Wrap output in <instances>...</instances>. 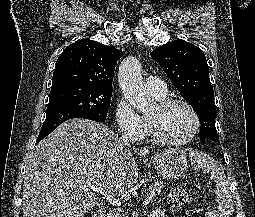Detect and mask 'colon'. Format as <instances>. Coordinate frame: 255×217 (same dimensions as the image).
I'll list each match as a JSON object with an SVG mask.
<instances>
[{"instance_id": "1", "label": "colon", "mask_w": 255, "mask_h": 217, "mask_svg": "<svg viewBox=\"0 0 255 217\" xmlns=\"http://www.w3.org/2000/svg\"><path fill=\"white\" fill-rule=\"evenodd\" d=\"M187 192L180 185H174L169 194V201L173 207L179 208L187 202Z\"/></svg>"}]
</instances>
